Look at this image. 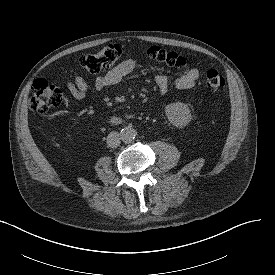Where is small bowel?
I'll list each match as a JSON object with an SVG mask.
<instances>
[{"mask_svg":"<svg viewBox=\"0 0 275 275\" xmlns=\"http://www.w3.org/2000/svg\"><path fill=\"white\" fill-rule=\"evenodd\" d=\"M135 67L136 62L133 59H126L112 70L96 77L93 82H88L84 77L77 75L67 81L66 87L75 100H83L90 92H100L108 87L115 86L123 78L131 74L135 70ZM199 77L200 72L198 69L189 68L173 82L163 73H157L154 79L158 90L164 94L172 89H190L195 86Z\"/></svg>","mask_w":275,"mask_h":275,"instance_id":"c3829d8e","label":"small bowel"}]
</instances>
